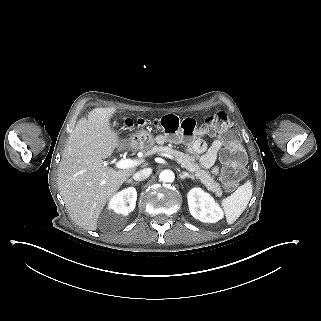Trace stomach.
<instances>
[{
	"mask_svg": "<svg viewBox=\"0 0 321 321\" xmlns=\"http://www.w3.org/2000/svg\"><path fill=\"white\" fill-rule=\"evenodd\" d=\"M126 145L137 150H149L155 145L153 134L146 129L136 128L131 136L124 140Z\"/></svg>",
	"mask_w": 321,
	"mask_h": 321,
	"instance_id": "1",
	"label": "stomach"
}]
</instances>
